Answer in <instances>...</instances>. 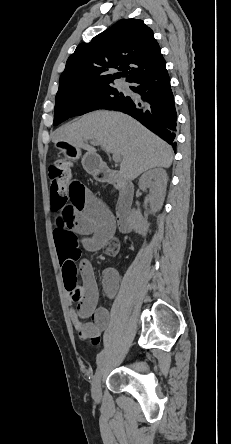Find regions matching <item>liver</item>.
Returning <instances> with one entry per match:
<instances>
[{
	"label": "liver",
	"instance_id": "6515ba94",
	"mask_svg": "<svg viewBox=\"0 0 231 444\" xmlns=\"http://www.w3.org/2000/svg\"><path fill=\"white\" fill-rule=\"evenodd\" d=\"M94 140L107 152L121 157L120 174L135 179L143 172L171 166L173 149L130 116L114 111H95L58 128L53 142L66 141L89 154L96 149L87 143Z\"/></svg>",
	"mask_w": 231,
	"mask_h": 444
}]
</instances>
